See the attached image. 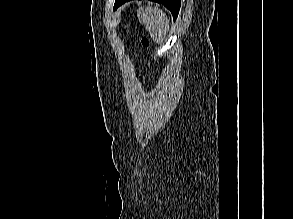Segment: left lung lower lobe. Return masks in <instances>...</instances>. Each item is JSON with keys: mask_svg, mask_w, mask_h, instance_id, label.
I'll return each mask as SVG.
<instances>
[{"mask_svg": "<svg viewBox=\"0 0 293 219\" xmlns=\"http://www.w3.org/2000/svg\"><path fill=\"white\" fill-rule=\"evenodd\" d=\"M129 0H115L114 9H117L120 5L127 2ZM153 2H157L160 4H163L166 8H168L172 15L174 20L177 18L179 9H180V0H150Z\"/></svg>", "mask_w": 293, "mask_h": 219, "instance_id": "0a47b994", "label": "left lung lower lobe"}]
</instances>
